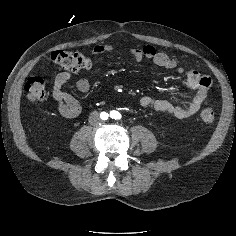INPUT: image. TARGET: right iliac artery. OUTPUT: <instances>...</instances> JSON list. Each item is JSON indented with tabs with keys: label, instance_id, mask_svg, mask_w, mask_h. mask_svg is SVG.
Wrapping results in <instances>:
<instances>
[{
	"label": "right iliac artery",
	"instance_id": "1",
	"mask_svg": "<svg viewBox=\"0 0 236 236\" xmlns=\"http://www.w3.org/2000/svg\"><path fill=\"white\" fill-rule=\"evenodd\" d=\"M102 114L105 118H107L108 114H106L105 112H103Z\"/></svg>",
	"mask_w": 236,
	"mask_h": 236
}]
</instances>
